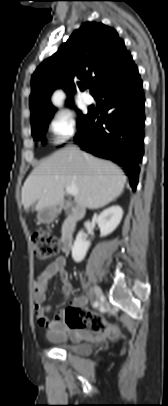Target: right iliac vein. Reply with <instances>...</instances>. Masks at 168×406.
Wrapping results in <instances>:
<instances>
[{
	"mask_svg": "<svg viewBox=\"0 0 168 406\" xmlns=\"http://www.w3.org/2000/svg\"><path fill=\"white\" fill-rule=\"evenodd\" d=\"M94 293H95V296L98 299H100L102 297V295H103L101 288L99 286H97V285L94 286Z\"/></svg>",
	"mask_w": 168,
	"mask_h": 406,
	"instance_id": "right-iliac-vein-1",
	"label": "right iliac vein"
}]
</instances>
